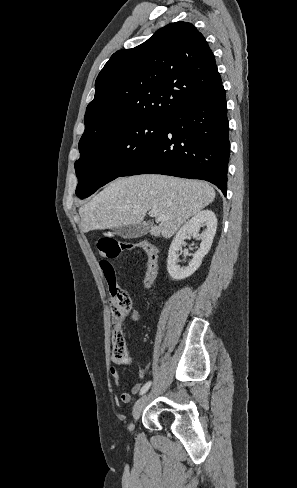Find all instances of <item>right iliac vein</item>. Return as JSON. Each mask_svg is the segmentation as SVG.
<instances>
[{
	"instance_id": "1",
	"label": "right iliac vein",
	"mask_w": 297,
	"mask_h": 488,
	"mask_svg": "<svg viewBox=\"0 0 297 488\" xmlns=\"http://www.w3.org/2000/svg\"><path fill=\"white\" fill-rule=\"evenodd\" d=\"M147 400H148L147 395H144L139 400H137V402L134 404L133 410H132V416H133V419L135 422L139 419V417H140V415H141V413H142V411H143V409L147 403Z\"/></svg>"
}]
</instances>
